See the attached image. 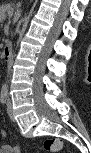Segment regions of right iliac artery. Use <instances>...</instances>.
Listing matches in <instances>:
<instances>
[{
	"label": "right iliac artery",
	"mask_w": 91,
	"mask_h": 153,
	"mask_svg": "<svg viewBox=\"0 0 91 153\" xmlns=\"http://www.w3.org/2000/svg\"><path fill=\"white\" fill-rule=\"evenodd\" d=\"M7 87L3 86L1 89V97H0V101L2 104H5L7 101Z\"/></svg>",
	"instance_id": "1"
}]
</instances>
